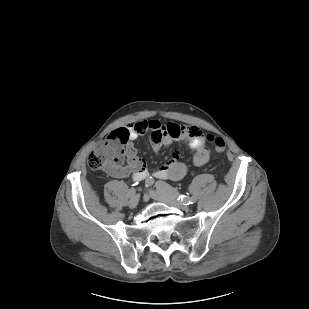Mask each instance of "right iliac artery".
<instances>
[{"label": "right iliac artery", "instance_id": "82829eb1", "mask_svg": "<svg viewBox=\"0 0 309 309\" xmlns=\"http://www.w3.org/2000/svg\"><path fill=\"white\" fill-rule=\"evenodd\" d=\"M153 184H154V179H153L152 177H149V178L146 179L145 185H146L147 187H150V186H152ZM132 198H133V197H132ZM134 200H135V201H138V200H139V197H138V196H135V197H134Z\"/></svg>", "mask_w": 309, "mask_h": 309}]
</instances>
